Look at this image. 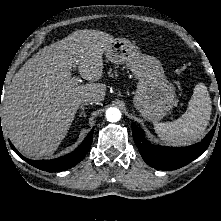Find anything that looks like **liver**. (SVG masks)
<instances>
[{"label": "liver", "mask_w": 221, "mask_h": 221, "mask_svg": "<svg viewBox=\"0 0 221 221\" xmlns=\"http://www.w3.org/2000/svg\"><path fill=\"white\" fill-rule=\"evenodd\" d=\"M114 38L102 31L77 30L37 52L14 75L3 95L2 123L27 157L52 155L65 138L85 99L104 100L103 53ZM77 66L89 84L77 85Z\"/></svg>", "instance_id": "6515ba94"}]
</instances>
